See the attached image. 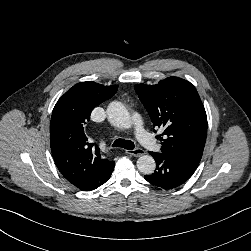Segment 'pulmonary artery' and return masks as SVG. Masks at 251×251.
I'll return each mask as SVG.
<instances>
[{
    "mask_svg": "<svg viewBox=\"0 0 251 251\" xmlns=\"http://www.w3.org/2000/svg\"><path fill=\"white\" fill-rule=\"evenodd\" d=\"M133 124L135 127V133L139 141L153 152H159L160 146L156 143L155 139L151 134L145 131L142 124V119L139 115L133 116Z\"/></svg>",
    "mask_w": 251,
    "mask_h": 251,
    "instance_id": "1",
    "label": "pulmonary artery"
}]
</instances>
